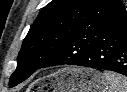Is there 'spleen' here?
Returning a JSON list of instances; mask_svg holds the SVG:
<instances>
[{
	"instance_id": "obj_1",
	"label": "spleen",
	"mask_w": 127,
	"mask_h": 92,
	"mask_svg": "<svg viewBox=\"0 0 127 92\" xmlns=\"http://www.w3.org/2000/svg\"><path fill=\"white\" fill-rule=\"evenodd\" d=\"M103 76L109 85L104 92H127V77L111 71H105Z\"/></svg>"
}]
</instances>
